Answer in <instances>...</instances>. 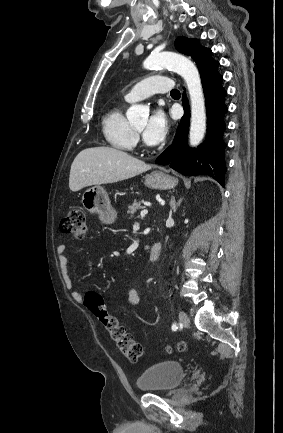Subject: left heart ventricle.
<instances>
[{
  "instance_id": "b2bd125f",
  "label": "left heart ventricle",
  "mask_w": 283,
  "mask_h": 433,
  "mask_svg": "<svg viewBox=\"0 0 283 433\" xmlns=\"http://www.w3.org/2000/svg\"><path fill=\"white\" fill-rule=\"evenodd\" d=\"M145 126H146V120H144L143 122L137 124L135 126V128L140 132V131L144 130Z\"/></svg>"
}]
</instances>
